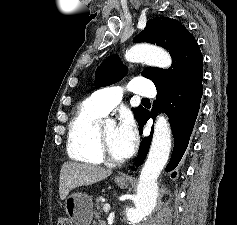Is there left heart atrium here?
I'll return each mask as SVG.
<instances>
[{"label": "left heart atrium", "instance_id": "39dd6f15", "mask_svg": "<svg viewBox=\"0 0 237 225\" xmlns=\"http://www.w3.org/2000/svg\"><path fill=\"white\" fill-rule=\"evenodd\" d=\"M138 134L130 114H124L116 128V147L122 158L130 157L136 149Z\"/></svg>", "mask_w": 237, "mask_h": 225}]
</instances>
